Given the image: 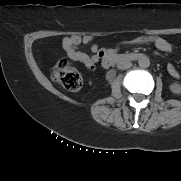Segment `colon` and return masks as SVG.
Wrapping results in <instances>:
<instances>
[{"label": "colon", "instance_id": "colon-1", "mask_svg": "<svg viewBox=\"0 0 181 181\" xmlns=\"http://www.w3.org/2000/svg\"><path fill=\"white\" fill-rule=\"evenodd\" d=\"M51 77L72 92L78 91L82 86L81 75L65 59L60 60L53 66Z\"/></svg>", "mask_w": 181, "mask_h": 181}]
</instances>
